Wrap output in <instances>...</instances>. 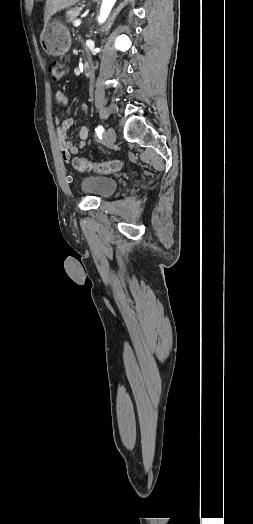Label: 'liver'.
<instances>
[{
	"instance_id": "6515ba94",
	"label": "liver",
	"mask_w": 253,
	"mask_h": 524,
	"mask_svg": "<svg viewBox=\"0 0 253 524\" xmlns=\"http://www.w3.org/2000/svg\"><path fill=\"white\" fill-rule=\"evenodd\" d=\"M79 0H46L44 11V26H46L50 18L57 12L75 5Z\"/></svg>"
}]
</instances>
